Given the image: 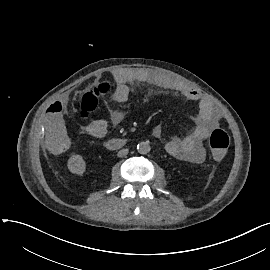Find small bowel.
Here are the masks:
<instances>
[{
	"label": "small bowel",
	"instance_id": "small-bowel-1",
	"mask_svg": "<svg viewBox=\"0 0 270 270\" xmlns=\"http://www.w3.org/2000/svg\"><path fill=\"white\" fill-rule=\"evenodd\" d=\"M114 78L116 85L112 92V98L119 103L128 100V85L133 82L174 91L190 101L197 102L198 114L195 129L185 137H175L169 140L166 144V150L171 155L187 159L194 164H201L205 161L206 151L203 140L219 121V115L208 99L201 97L196 90L166 76L164 73L148 68L123 69L116 72ZM45 117L48 133L46 136V154L51 159H60L69 147V140L66 138L68 133L66 109L61 104H52L48 107ZM122 120V114L113 111L110 124L103 118H95L85 123L83 128L87 134L102 138L108 134L111 126L119 125ZM153 136L161 138L162 129L160 126L154 128Z\"/></svg>",
	"mask_w": 270,
	"mask_h": 270
}]
</instances>
